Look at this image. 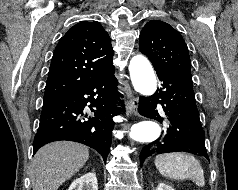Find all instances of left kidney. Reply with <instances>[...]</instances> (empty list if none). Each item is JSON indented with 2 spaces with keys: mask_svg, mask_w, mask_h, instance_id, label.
<instances>
[{
  "mask_svg": "<svg viewBox=\"0 0 238 190\" xmlns=\"http://www.w3.org/2000/svg\"><path fill=\"white\" fill-rule=\"evenodd\" d=\"M156 190H175V189L169 185H166L165 183H159Z\"/></svg>",
  "mask_w": 238,
  "mask_h": 190,
  "instance_id": "obj_1",
  "label": "left kidney"
}]
</instances>
